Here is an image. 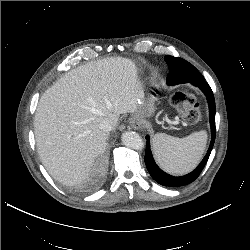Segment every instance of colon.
I'll return each instance as SVG.
<instances>
[{
  "label": "colon",
  "instance_id": "5ec220e1",
  "mask_svg": "<svg viewBox=\"0 0 250 250\" xmlns=\"http://www.w3.org/2000/svg\"><path fill=\"white\" fill-rule=\"evenodd\" d=\"M171 103L186 121L195 123L200 119L201 110L194 96L176 92L171 98Z\"/></svg>",
  "mask_w": 250,
  "mask_h": 250
}]
</instances>
